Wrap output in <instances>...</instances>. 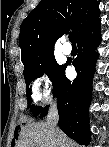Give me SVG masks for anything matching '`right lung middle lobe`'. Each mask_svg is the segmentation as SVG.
Returning <instances> with one entry per match:
<instances>
[{"label":"right lung middle lobe","mask_w":109,"mask_h":147,"mask_svg":"<svg viewBox=\"0 0 109 147\" xmlns=\"http://www.w3.org/2000/svg\"><path fill=\"white\" fill-rule=\"evenodd\" d=\"M62 66L57 64L53 53H49L45 55L43 58H41L38 63L24 68L28 109H30V111L34 114L35 117L40 114L43 108L38 106H32V99L29 89L30 83L34 81L36 78L41 77L44 73H47L54 84L56 79L58 78Z\"/></svg>","instance_id":"obj_1"}]
</instances>
